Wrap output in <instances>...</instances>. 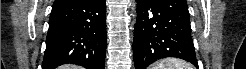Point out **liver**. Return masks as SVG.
I'll use <instances>...</instances> for the list:
<instances>
[{
	"label": "liver",
	"mask_w": 246,
	"mask_h": 69,
	"mask_svg": "<svg viewBox=\"0 0 246 69\" xmlns=\"http://www.w3.org/2000/svg\"><path fill=\"white\" fill-rule=\"evenodd\" d=\"M62 69H79L78 66H74V65H66V66H62Z\"/></svg>",
	"instance_id": "1"
}]
</instances>
